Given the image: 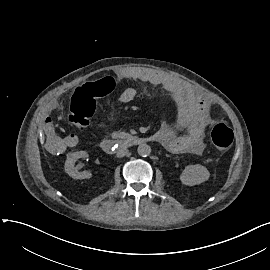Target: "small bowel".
Returning a JSON list of instances; mask_svg holds the SVG:
<instances>
[{"mask_svg": "<svg viewBox=\"0 0 270 270\" xmlns=\"http://www.w3.org/2000/svg\"><path fill=\"white\" fill-rule=\"evenodd\" d=\"M125 76L162 88L172 94L179 102L190 104L192 115L189 119H178L175 122L161 125L156 136L160 143L172 153L201 154L204 150L205 131L214 121L209 114L212 101L177 79L157 70L130 69L125 72ZM134 97L135 90L127 87L122 91L119 99L126 104L130 103ZM44 127L47 132L44 135V140L48 143V149L52 154L61 155L67 147L75 145L76 139L73 136L65 139L56 136L55 122L52 119H47L44 122Z\"/></svg>", "mask_w": 270, "mask_h": 270, "instance_id": "1", "label": "small bowel"}]
</instances>
